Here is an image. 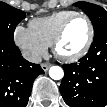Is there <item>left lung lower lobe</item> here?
<instances>
[{
  "label": "left lung lower lobe",
  "mask_w": 107,
  "mask_h": 107,
  "mask_svg": "<svg viewBox=\"0 0 107 107\" xmlns=\"http://www.w3.org/2000/svg\"><path fill=\"white\" fill-rule=\"evenodd\" d=\"M60 92L70 107L107 105V31L94 36L89 52L78 63L65 64Z\"/></svg>",
  "instance_id": "left-lung-lower-lobe-1"
}]
</instances>
